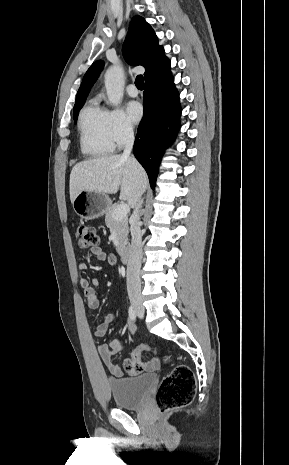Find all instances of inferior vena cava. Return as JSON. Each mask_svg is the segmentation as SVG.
Wrapping results in <instances>:
<instances>
[{
  "label": "inferior vena cava",
  "instance_id": "1",
  "mask_svg": "<svg viewBox=\"0 0 289 465\" xmlns=\"http://www.w3.org/2000/svg\"><path fill=\"white\" fill-rule=\"evenodd\" d=\"M134 145V132L132 127H126L124 130V151L123 158H129ZM143 204L140 197L135 205L133 214L130 217L131 232V249L127 264V291L130 301L136 300L141 296L140 268L142 259V233L139 226V209Z\"/></svg>",
  "mask_w": 289,
  "mask_h": 465
}]
</instances>
